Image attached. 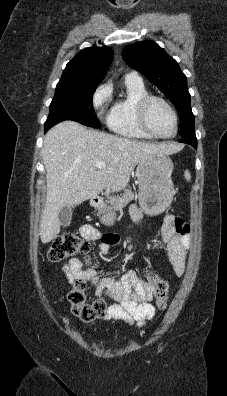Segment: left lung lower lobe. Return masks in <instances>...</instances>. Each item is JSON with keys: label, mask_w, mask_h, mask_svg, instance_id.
I'll list each match as a JSON object with an SVG mask.
<instances>
[{"label": "left lung lower lobe", "mask_w": 227, "mask_h": 396, "mask_svg": "<svg viewBox=\"0 0 227 396\" xmlns=\"http://www.w3.org/2000/svg\"><path fill=\"white\" fill-rule=\"evenodd\" d=\"M180 142L187 143L196 149L197 148V139H196L195 131L182 136V138L180 139Z\"/></svg>", "instance_id": "0a47b994"}]
</instances>
